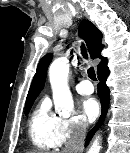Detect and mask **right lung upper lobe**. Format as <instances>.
Wrapping results in <instances>:
<instances>
[{
  "label": "right lung upper lobe",
  "mask_w": 130,
  "mask_h": 153,
  "mask_svg": "<svg viewBox=\"0 0 130 153\" xmlns=\"http://www.w3.org/2000/svg\"><path fill=\"white\" fill-rule=\"evenodd\" d=\"M79 35L85 40L89 54L92 59L100 58L101 62L97 66V73L107 66V58L101 56V51L104 47L102 45V33L89 20H82L79 25ZM52 54L45 55L39 62L36 74L33 78L31 87L29 89L26 104L34 102L44 87L46 81L47 68L52 60Z\"/></svg>",
  "instance_id": "right-lung-upper-lobe-1"
}]
</instances>
